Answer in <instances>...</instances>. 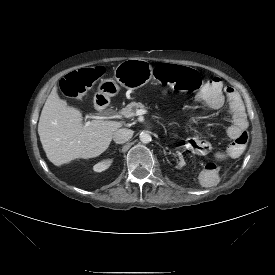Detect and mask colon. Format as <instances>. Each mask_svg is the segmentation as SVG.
Here are the masks:
<instances>
[{
	"label": "colon",
	"mask_w": 275,
	"mask_h": 275,
	"mask_svg": "<svg viewBox=\"0 0 275 275\" xmlns=\"http://www.w3.org/2000/svg\"><path fill=\"white\" fill-rule=\"evenodd\" d=\"M155 77L163 84L169 85L175 90L194 92L201 88L200 75L193 69L173 64L158 65ZM104 74L102 67L84 68L68 74L61 82V91L68 97H78L85 93L95 81ZM248 142L247 132H243L238 138L227 144V154L237 156L243 152Z\"/></svg>",
	"instance_id": "5ec220e1"
}]
</instances>
